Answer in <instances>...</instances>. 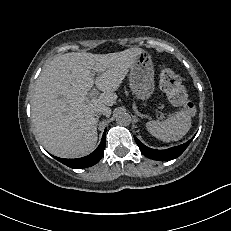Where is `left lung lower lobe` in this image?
I'll return each mask as SVG.
<instances>
[{"label":"left lung lower lobe","instance_id":"left-lung-lower-lobe-1","mask_svg":"<svg viewBox=\"0 0 231 231\" xmlns=\"http://www.w3.org/2000/svg\"><path fill=\"white\" fill-rule=\"evenodd\" d=\"M134 138H135L137 145L139 146L140 151L146 157L153 159V160H161V161L172 160V159H175L178 156H180L184 152V150L188 147V145L190 144V142L192 140L191 139L182 145L172 147V148H169L166 150H155V149H151V148L145 146L136 137H134Z\"/></svg>","mask_w":231,"mask_h":231}]
</instances>
